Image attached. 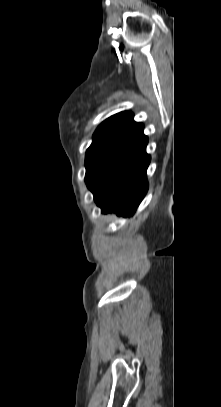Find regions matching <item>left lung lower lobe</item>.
Wrapping results in <instances>:
<instances>
[{"mask_svg": "<svg viewBox=\"0 0 221 407\" xmlns=\"http://www.w3.org/2000/svg\"><path fill=\"white\" fill-rule=\"evenodd\" d=\"M147 143L143 125L132 121L90 170L85 181L102 212L135 213L148 190Z\"/></svg>", "mask_w": 221, "mask_h": 407, "instance_id": "1", "label": "left lung lower lobe"}]
</instances>
